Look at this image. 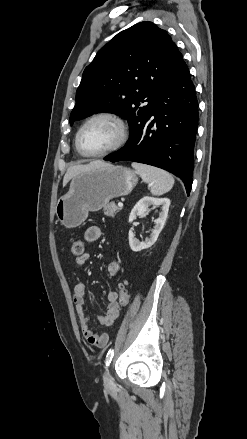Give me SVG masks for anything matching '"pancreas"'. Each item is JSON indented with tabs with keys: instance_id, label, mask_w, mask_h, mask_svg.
<instances>
[{
	"instance_id": "1",
	"label": "pancreas",
	"mask_w": 247,
	"mask_h": 439,
	"mask_svg": "<svg viewBox=\"0 0 247 439\" xmlns=\"http://www.w3.org/2000/svg\"><path fill=\"white\" fill-rule=\"evenodd\" d=\"M120 208H118L115 204V202H111L104 206L103 211L106 216L115 217L116 214L119 212Z\"/></svg>"
}]
</instances>
